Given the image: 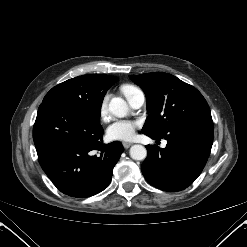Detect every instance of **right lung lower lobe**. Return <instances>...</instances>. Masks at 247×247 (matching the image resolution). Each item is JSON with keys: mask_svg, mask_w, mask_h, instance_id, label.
<instances>
[{"mask_svg": "<svg viewBox=\"0 0 247 247\" xmlns=\"http://www.w3.org/2000/svg\"><path fill=\"white\" fill-rule=\"evenodd\" d=\"M100 122L74 108L40 105L33 128L38 161L62 193L89 197L110 183L123 147L103 144Z\"/></svg>", "mask_w": 247, "mask_h": 247, "instance_id": "obj_1", "label": "right lung lower lobe"}]
</instances>
